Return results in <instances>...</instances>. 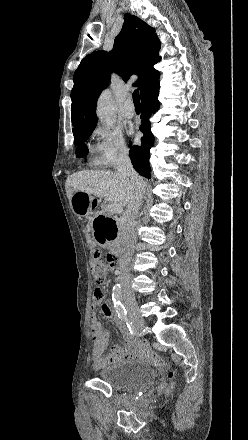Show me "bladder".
<instances>
[{
	"label": "bladder",
	"instance_id": "obj_1",
	"mask_svg": "<svg viewBox=\"0 0 248 440\" xmlns=\"http://www.w3.org/2000/svg\"><path fill=\"white\" fill-rule=\"evenodd\" d=\"M154 370L138 360H123L108 365L98 373V378L113 388L142 387L154 380Z\"/></svg>",
	"mask_w": 248,
	"mask_h": 440
}]
</instances>
